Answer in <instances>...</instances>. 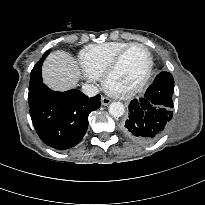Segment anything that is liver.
Segmentation results:
<instances>
[{
    "mask_svg": "<svg viewBox=\"0 0 205 205\" xmlns=\"http://www.w3.org/2000/svg\"><path fill=\"white\" fill-rule=\"evenodd\" d=\"M79 75L77 62L64 51L52 52L42 67L44 83L56 91H66L75 87Z\"/></svg>",
    "mask_w": 205,
    "mask_h": 205,
    "instance_id": "liver-1",
    "label": "liver"
}]
</instances>
